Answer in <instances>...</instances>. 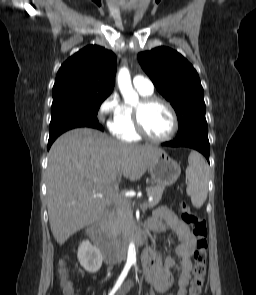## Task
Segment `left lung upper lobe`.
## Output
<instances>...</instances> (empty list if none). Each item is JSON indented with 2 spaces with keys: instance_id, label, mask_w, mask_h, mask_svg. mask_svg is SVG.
<instances>
[{
  "instance_id": "left-lung-upper-lobe-1",
  "label": "left lung upper lobe",
  "mask_w": 256,
  "mask_h": 295,
  "mask_svg": "<svg viewBox=\"0 0 256 295\" xmlns=\"http://www.w3.org/2000/svg\"><path fill=\"white\" fill-rule=\"evenodd\" d=\"M138 61L176 111V138L207 135L204 91L193 66L181 54L168 47L141 52Z\"/></svg>"
}]
</instances>
